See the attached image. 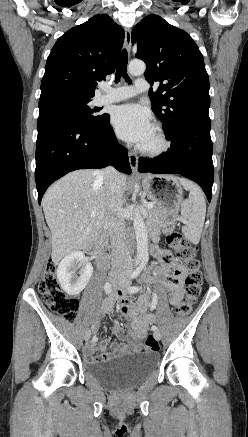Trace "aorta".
<instances>
[{
    "instance_id": "762f6f07",
    "label": "aorta",
    "mask_w": 248,
    "mask_h": 437,
    "mask_svg": "<svg viewBox=\"0 0 248 437\" xmlns=\"http://www.w3.org/2000/svg\"><path fill=\"white\" fill-rule=\"evenodd\" d=\"M145 69V63L140 60H133L128 65V72L134 76L143 74ZM133 226L137 241V258L146 260L148 259V232L139 209L134 210Z\"/></svg>"
}]
</instances>
